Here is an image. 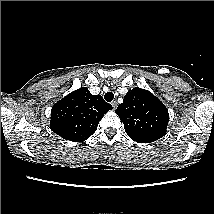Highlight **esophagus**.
I'll return each instance as SVG.
<instances>
[{"mask_svg":"<svg viewBox=\"0 0 214 214\" xmlns=\"http://www.w3.org/2000/svg\"><path fill=\"white\" fill-rule=\"evenodd\" d=\"M111 105H112L113 109L115 110L116 107H117V102H116V101H112V102H111Z\"/></svg>","mask_w":214,"mask_h":214,"instance_id":"34e87169","label":"esophagus"}]
</instances>
